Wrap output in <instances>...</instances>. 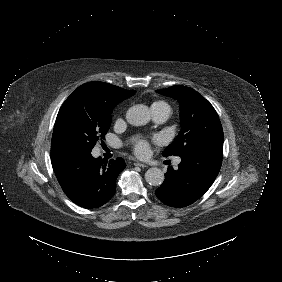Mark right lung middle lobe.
Segmentation results:
<instances>
[{"label": "right lung middle lobe", "mask_w": 282, "mask_h": 282, "mask_svg": "<svg viewBox=\"0 0 282 282\" xmlns=\"http://www.w3.org/2000/svg\"><path fill=\"white\" fill-rule=\"evenodd\" d=\"M135 92L117 86L95 90L76 89L57 115L51 142V160L73 153L91 152L99 139H105L113 108Z\"/></svg>", "instance_id": "right-lung-middle-lobe-1"}]
</instances>
